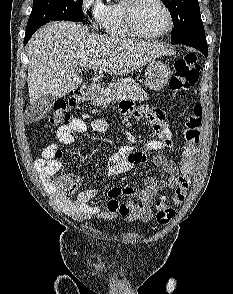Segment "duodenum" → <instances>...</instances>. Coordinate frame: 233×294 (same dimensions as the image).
Returning a JSON list of instances; mask_svg holds the SVG:
<instances>
[{
    "instance_id": "410a0bca",
    "label": "duodenum",
    "mask_w": 233,
    "mask_h": 294,
    "mask_svg": "<svg viewBox=\"0 0 233 294\" xmlns=\"http://www.w3.org/2000/svg\"><path fill=\"white\" fill-rule=\"evenodd\" d=\"M97 88L94 85H87L77 88L72 97L69 99V105L71 107L77 106L79 103L89 99L95 92Z\"/></svg>"
}]
</instances>
